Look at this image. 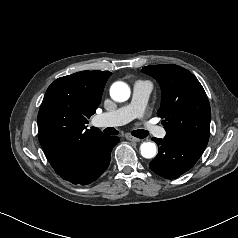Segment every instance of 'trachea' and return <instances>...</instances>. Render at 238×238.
Segmentation results:
<instances>
[{
    "label": "trachea",
    "mask_w": 238,
    "mask_h": 238,
    "mask_svg": "<svg viewBox=\"0 0 238 238\" xmlns=\"http://www.w3.org/2000/svg\"><path fill=\"white\" fill-rule=\"evenodd\" d=\"M105 133L109 134V135H117L118 134L117 130L114 128H107L105 130ZM132 135L137 138H145L148 136V132L143 129H138V130L132 131Z\"/></svg>",
    "instance_id": "trachea-1"
}]
</instances>
